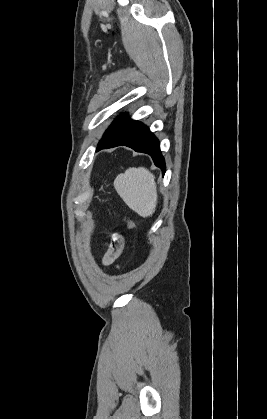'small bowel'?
Returning <instances> with one entry per match:
<instances>
[{
	"label": "small bowel",
	"instance_id": "c3829d8e",
	"mask_svg": "<svg viewBox=\"0 0 267 419\" xmlns=\"http://www.w3.org/2000/svg\"><path fill=\"white\" fill-rule=\"evenodd\" d=\"M123 246V238L120 235H115L103 255L102 264L105 266L113 265L122 254Z\"/></svg>",
	"mask_w": 267,
	"mask_h": 419
}]
</instances>
